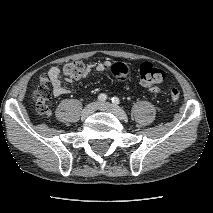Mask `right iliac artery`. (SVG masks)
Returning <instances> with one entry per match:
<instances>
[{"label": "right iliac artery", "instance_id": "1", "mask_svg": "<svg viewBox=\"0 0 213 213\" xmlns=\"http://www.w3.org/2000/svg\"><path fill=\"white\" fill-rule=\"evenodd\" d=\"M106 99H107V95L104 94V93H101V94L98 96V101H100V102H104Z\"/></svg>", "mask_w": 213, "mask_h": 213}]
</instances>
